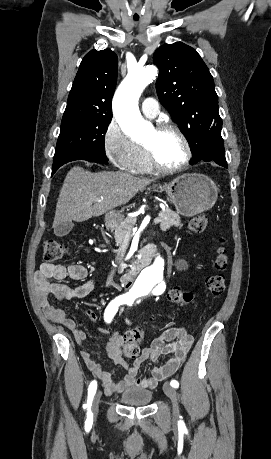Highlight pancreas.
<instances>
[{
    "mask_svg": "<svg viewBox=\"0 0 271 459\" xmlns=\"http://www.w3.org/2000/svg\"><path fill=\"white\" fill-rule=\"evenodd\" d=\"M159 219L161 220L160 228L163 231H166L169 226H182L178 214H175L169 208H165L160 212ZM135 222V218H126L124 222H121L120 226L115 229L114 237L116 241H120L123 245H128L130 243L131 229L134 228Z\"/></svg>",
    "mask_w": 271,
    "mask_h": 459,
    "instance_id": "pancreas-1",
    "label": "pancreas"
}]
</instances>
